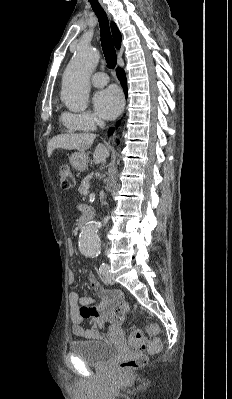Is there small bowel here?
I'll return each instance as SVG.
<instances>
[{"instance_id":"obj_1","label":"small bowel","mask_w":232,"mask_h":399,"mask_svg":"<svg viewBox=\"0 0 232 399\" xmlns=\"http://www.w3.org/2000/svg\"><path fill=\"white\" fill-rule=\"evenodd\" d=\"M68 249L71 257L76 254L73 241H68ZM69 284H76L74 274L69 275ZM92 291L103 300L94 304L91 296L79 297L75 292L69 294V316L72 320L70 330L82 336H89L93 343L109 339L121 329L122 317L128 316L130 311L127 306L119 303L118 292L101 288L96 278L92 279ZM94 319L89 325H85L87 318ZM110 321V325L104 328V324Z\"/></svg>"}]
</instances>
